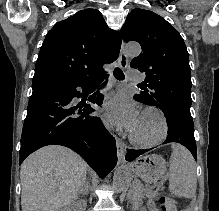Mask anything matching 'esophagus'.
Wrapping results in <instances>:
<instances>
[{
	"mask_svg": "<svg viewBox=\"0 0 219 211\" xmlns=\"http://www.w3.org/2000/svg\"><path fill=\"white\" fill-rule=\"evenodd\" d=\"M127 64H128V57L124 50V41L122 40L119 57H118V65L120 66V68H126ZM116 141H117L116 143L117 144V158H118V161L122 163L125 161V150H124L122 143L119 140H116Z\"/></svg>",
	"mask_w": 219,
	"mask_h": 211,
	"instance_id": "obj_1",
	"label": "esophagus"
}]
</instances>
